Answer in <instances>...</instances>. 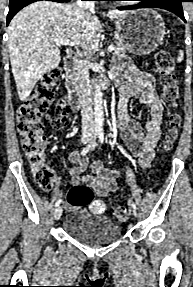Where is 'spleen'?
Segmentation results:
<instances>
[{
  "mask_svg": "<svg viewBox=\"0 0 193 287\" xmlns=\"http://www.w3.org/2000/svg\"><path fill=\"white\" fill-rule=\"evenodd\" d=\"M183 57H184V53H183L182 50H180V51H179V54H178V57H177V61H178V62H182Z\"/></svg>",
  "mask_w": 193,
  "mask_h": 287,
  "instance_id": "obj_1",
  "label": "spleen"
}]
</instances>
